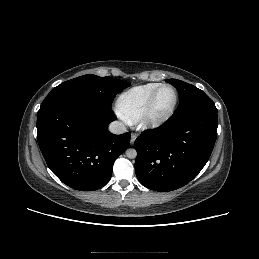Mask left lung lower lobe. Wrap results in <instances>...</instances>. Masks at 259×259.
I'll return each mask as SVG.
<instances>
[{"label": "left lung lower lobe", "instance_id": "left-lung-lower-lobe-1", "mask_svg": "<svg viewBox=\"0 0 259 259\" xmlns=\"http://www.w3.org/2000/svg\"><path fill=\"white\" fill-rule=\"evenodd\" d=\"M217 109L174 112L160 127L144 131L134 143L139 182L155 191H173L205 166L217 137Z\"/></svg>", "mask_w": 259, "mask_h": 259}]
</instances>
